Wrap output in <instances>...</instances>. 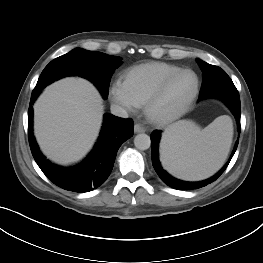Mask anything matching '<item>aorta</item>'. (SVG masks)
Listing matches in <instances>:
<instances>
[{"mask_svg":"<svg viewBox=\"0 0 263 263\" xmlns=\"http://www.w3.org/2000/svg\"><path fill=\"white\" fill-rule=\"evenodd\" d=\"M134 145L139 150H147L151 145L150 137L145 133L138 134L134 138Z\"/></svg>","mask_w":263,"mask_h":263,"instance_id":"obj_1","label":"aorta"}]
</instances>
